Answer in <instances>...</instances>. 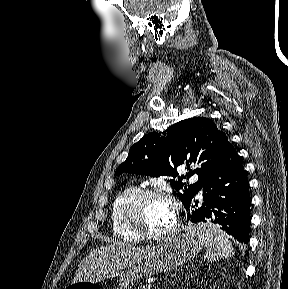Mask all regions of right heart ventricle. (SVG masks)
Returning <instances> with one entry per match:
<instances>
[{"instance_id":"e07e8e85","label":"right heart ventricle","mask_w":288,"mask_h":289,"mask_svg":"<svg viewBox=\"0 0 288 289\" xmlns=\"http://www.w3.org/2000/svg\"><path fill=\"white\" fill-rule=\"evenodd\" d=\"M136 185H128L123 188L114 198L111 210L110 220L113 235L124 244H138L142 239L133 234L125 224L124 209L128 201L139 191Z\"/></svg>"}]
</instances>
